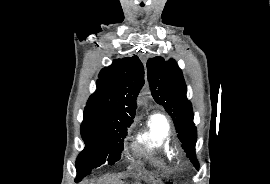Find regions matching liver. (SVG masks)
Returning a JSON list of instances; mask_svg holds the SVG:
<instances>
[{"label": "liver", "instance_id": "1", "mask_svg": "<svg viewBox=\"0 0 270 184\" xmlns=\"http://www.w3.org/2000/svg\"><path fill=\"white\" fill-rule=\"evenodd\" d=\"M83 184H95L93 182H85ZM98 184H123L121 181L115 180L114 178L111 177H104L99 181Z\"/></svg>", "mask_w": 270, "mask_h": 184}]
</instances>
